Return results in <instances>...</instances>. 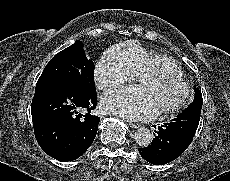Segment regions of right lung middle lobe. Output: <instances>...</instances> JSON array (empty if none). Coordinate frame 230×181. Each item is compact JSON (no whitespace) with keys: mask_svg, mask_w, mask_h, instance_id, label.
I'll list each match as a JSON object with an SVG mask.
<instances>
[{"mask_svg":"<svg viewBox=\"0 0 230 181\" xmlns=\"http://www.w3.org/2000/svg\"><path fill=\"white\" fill-rule=\"evenodd\" d=\"M56 86L72 87L89 94L96 93L94 63L86 57L80 41L60 51L49 61L35 90Z\"/></svg>","mask_w":230,"mask_h":181,"instance_id":"dd1d6c3e","label":"right lung middle lobe"}]
</instances>
